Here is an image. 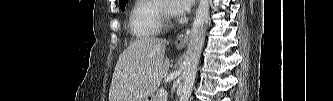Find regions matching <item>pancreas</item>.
Here are the masks:
<instances>
[{
    "label": "pancreas",
    "mask_w": 333,
    "mask_h": 101,
    "mask_svg": "<svg viewBox=\"0 0 333 101\" xmlns=\"http://www.w3.org/2000/svg\"><path fill=\"white\" fill-rule=\"evenodd\" d=\"M160 91H157L156 95L154 96V101H161V97H160Z\"/></svg>",
    "instance_id": "obj_1"
}]
</instances>
